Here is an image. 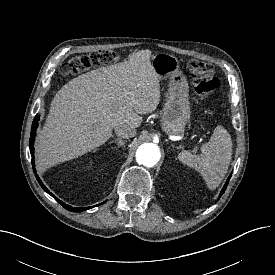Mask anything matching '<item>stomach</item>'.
I'll return each instance as SVG.
<instances>
[{
  "instance_id": "0dacf381",
  "label": "stomach",
  "mask_w": 275,
  "mask_h": 275,
  "mask_svg": "<svg viewBox=\"0 0 275 275\" xmlns=\"http://www.w3.org/2000/svg\"><path fill=\"white\" fill-rule=\"evenodd\" d=\"M152 67L160 80L168 79V96L161 117L162 129L168 135H182L191 115L186 76L179 70L178 59L167 53L153 56Z\"/></svg>"
}]
</instances>
